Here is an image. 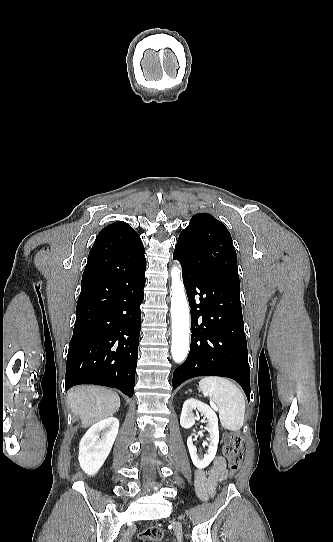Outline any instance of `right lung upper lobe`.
I'll return each instance as SVG.
<instances>
[{"label": "right lung upper lobe", "mask_w": 333, "mask_h": 542, "mask_svg": "<svg viewBox=\"0 0 333 542\" xmlns=\"http://www.w3.org/2000/svg\"><path fill=\"white\" fill-rule=\"evenodd\" d=\"M140 240L139 235L127 223L117 221L106 226L99 232L90 253L113 249L119 245H125Z\"/></svg>", "instance_id": "obj_1"}]
</instances>
